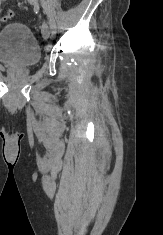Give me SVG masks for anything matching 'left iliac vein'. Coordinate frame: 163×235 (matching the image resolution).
I'll use <instances>...</instances> for the list:
<instances>
[{
    "mask_svg": "<svg viewBox=\"0 0 163 235\" xmlns=\"http://www.w3.org/2000/svg\"><path fill=\"white\" fill-rule=\"evenodd\" d=\"M28 2L30 4H33V5H37L38 4V0H28ZM50 27L49 25L46 23V22H43L42 23V26H41V33H42V36L44 39H48L49 36H50Z\"/></svg>",
    "mask_w": 163,
    "mask_h": 235,
    "instance_id": "4c4485c4",
    "label": "left iliac vein"
}]
</instances>
